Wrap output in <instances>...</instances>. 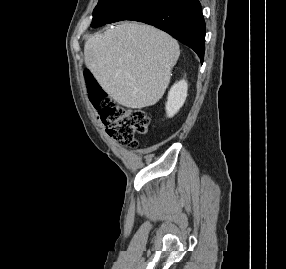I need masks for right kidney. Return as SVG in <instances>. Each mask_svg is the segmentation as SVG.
<instances>
[{
	"label": "right kidney",
	"mask_w": 286,
	"mask_h": 269,
	"mask_svg": "<svg viewBox=\"0 0 286 269\" xmlns=\"http://www.w3.org/2000/svg\"><path fill=\"white\" fill-rule=\"evenodd\" d=\"M187 90L188 84L185 80H181L171 87L166 103V113L169 118L173 117L183 106L187 97Z\"/></svg>",
	"instance_id": "1"
}]
</instances>
